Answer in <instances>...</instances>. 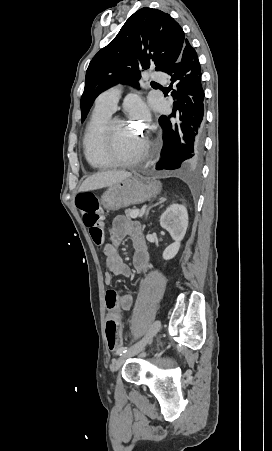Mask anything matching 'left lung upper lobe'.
Instances as JSON below:
<instances>
[{"mask_svg":"<svg viewBox=\"0 0 272 451\" xmlns=\"http://www.w3.org/2000/svg\"><path fill=\"white\" fill-rule=\"evenodd\" d=\"M186 38L180 25L167 13L141 8L132 14L117 36L92 59L86 71L81 97L83 121L96 97L117 83L139 87L140 72L151 65L166 72L179 59Z\"/></svg>","mask_w":272,"mask_h":451,"instance_id":"1","label":"left lung upper lobe"}]
</instances>
